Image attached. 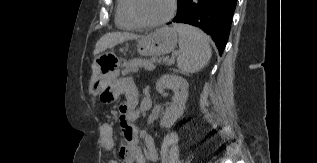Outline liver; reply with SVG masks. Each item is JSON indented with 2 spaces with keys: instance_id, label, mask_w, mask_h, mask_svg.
Here are the masks:
<instances>
[{
  "instance_id": "liver-1",
  "label": "liver",
  "mask_w": 317,
  "mask_h": 163,
  "mask_svg": "<svg viewBox=\"0 0 317 163\" xmlns=\"http://www.w3.org/2000/svg\"><path fill=\"white\" fill-rule=\"evenodd\" d=\"M139 38V35L127 32L107 33L97 41L93 54L98 55L99 53L105 51L108 48H113L116 45L121 44L125 41L134 39L137 40Z\"/></svg>"
}]
</instances>
